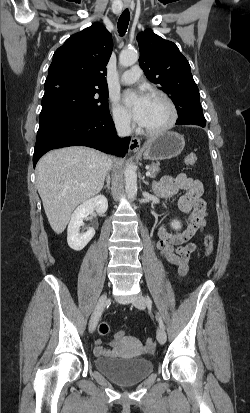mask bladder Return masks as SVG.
Instances as JSON below:
<instances>
[{
  "instance_id": "bladder-1",
  "label": "bladder",
  "mask_w": 250,
  "mask_h": 413,
  "mask_svg": "<svg viewBox=\"0 0 250 413\" xmlns=\"http://www.w3.org/2000/svg\"><path fill=\"white\" fill-rule=\"evenodd\" d=\"M94 365L101 373L121 385L136 384L153 371L152 361L146 358L99 356L94 359Z\"/></svg>"
}]
</instances>
